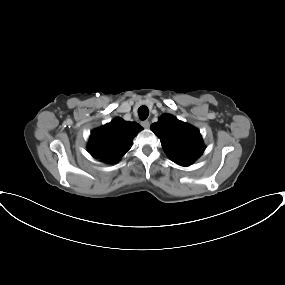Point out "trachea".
Masks as SVG:
<instances>
[{
    "label": "trachea",
    "instance_id": "obj_1",
    "mask_svg": "<svg viewBox=\"0 0 285 285\" xmlns=\"http://www.w3.org/2000/svg\"><path fill=\"white\" fill-rule=\"evenodd\" d=\"M138 115L141 120H145L149 115V110L146 106H141L138 109Z\"/></svg>",
    "mask_w": 285,
    "mask_h": 285
}]
</instances>
